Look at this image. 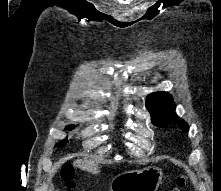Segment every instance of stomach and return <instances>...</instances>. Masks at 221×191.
Listing matches in <instances>:
<instances>
[{
    "instance_id": "stomach-1",
    "label": "stomach",
    "mask_w": 221,
    "mask_h": 191,
    "mask_svg": "<svg viewBox=\"0 0 221 191\" xmlns=\"http://www.w3.org/2000/svg\"><path fill=\"white\" fill-rule=\"evenodd\" d=\"M162 176L158 167L127 171L112 179L111 191H157Z\"/></svg>"
}]
</instances>
